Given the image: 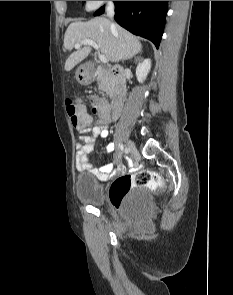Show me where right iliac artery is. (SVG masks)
<instances>
[{
    "label": "right iliac artery",
    "instance_id": "right-iliac-artery-1",
    "mask_svg": "<svg viewBox=\"0 0 233 295\" xmlns=\"http://www.w3.org/2000/svg\"><path fill=\"white\" fill-rule=\"evenodd\" d=\"M124 151H125V153H128V148H125V150H124Z\"/></svg>",
    "mask_w": 233,
    "mask_h": 295
}]
</instances>
